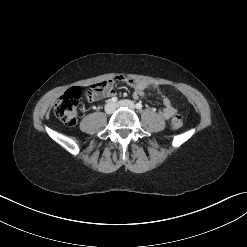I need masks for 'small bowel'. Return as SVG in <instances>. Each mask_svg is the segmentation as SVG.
<instances>
[{
    "instance_id": "c3829d8e",
    "label": "small bowel",
    "mask_w": 247,
    "mask_h": 247,
    "mask_svg": "<svg viewBox=\"0 0 247 247\" xmlns=\"http://www.w3.org/2000/svg\"><path fill=\"white\" fill-rule=\"evenodd\" d=\"M115 81L124 82L126 85L132 88L134 91V96L136 98L144 97L146 90L158 91L163 101V107L160 110V115L166 120H169L175 115L176 110L171 100L161 92L158 86L151 84V83H147V82H139V81H136L131 78L124 77V76H118L115 78V80H109L108 87L104 91L98 93L97 95L89 97V100L98 101V100H101L102 98L112 97L116 95V91L114 89Z\"/></svg>"
}]
</instances>
